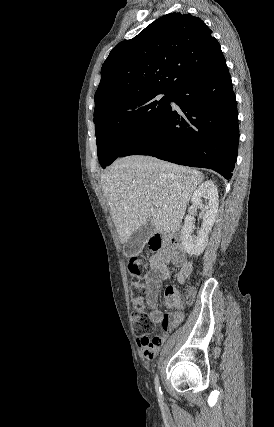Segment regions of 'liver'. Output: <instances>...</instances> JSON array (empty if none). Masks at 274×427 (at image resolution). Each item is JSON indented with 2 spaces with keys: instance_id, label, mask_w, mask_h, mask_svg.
Returning <instances> with one entry per match:
<instances>
[{
  "instance_id": "liver-1",
  "label": "liver",
  "mask_w": 274,
  "mask_h": 427,
  "mask_svg": "<svg viewBox=\"0 0 274 427\" xmlns=\"http://www.w3.org/2000/svg\"><path fill=\"white\" fill-rule=\"evenodd\" d=\"M203 180L198 170L151 156L116 160L102 174L101 184L121 243L148 221L158 233L178 229L194 190Z\"/></svg>"
}]
</instances>
